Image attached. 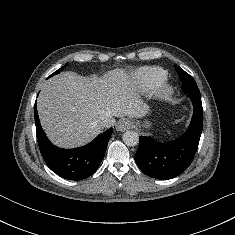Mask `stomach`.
Returning <instances> with one entry per match:
<instances>
[{
  "label": "stomach",
  "instance_id": "obj_1",
  "mask_svg": "<svg viewBox=\"0 0 235 235\" xmlns=\"http://www.w3.org/2000/svg\"><path fill=\"white\" fill-rule=\"evenodd\" d=\"M145 127H147V128L150 127V123H149V122H146V123H145Z\"/></svg>",
  "mask_w": 235,
  "mask_h": 235
}]
</instances>
